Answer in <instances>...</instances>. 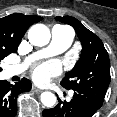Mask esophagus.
<instances>
[{
  "label": "esophagus",
  "mask_w": 117,
  "mask_h": 117,
  "mask_svg": "<svg viewBox=\"0 0 117 117\" xmlns=\"http://www.w3.org/2000/svg\"><path fill=\"white\" fill-rule=\"evenodd\" d=\"M32 90H33L34 92H36V93H41V92H42L41 89H38V88H36V87H33Z\"/></svg>",
  "instance_id": "esophagus-1"
}]
</instances>
